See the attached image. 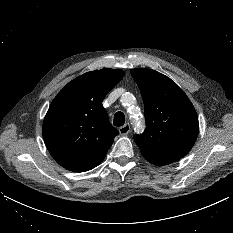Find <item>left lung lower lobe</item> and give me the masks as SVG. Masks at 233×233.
I'll return each instance as SVG.
<instances>
[{"instance_id": "obj_1", "label": "left lung lower lobe", "mask_w": 233, "mask_h": 233, "mask_svg": "<svg viewBox=\"0 0 233 233\" xmlns=\"http://www.w3.org/2000/svg\"><path fill=\"white\" fill-rule=\"evenodd\" d=\"M146 160H148L150 163L154 164V165H157V166H163V165H167V164H170L172 162H169V161H164V160H158V159H153V158H147L145 157Z\"/></svg>"}]
</instances>
